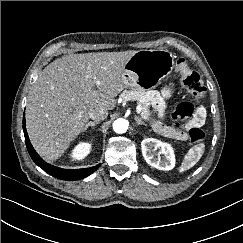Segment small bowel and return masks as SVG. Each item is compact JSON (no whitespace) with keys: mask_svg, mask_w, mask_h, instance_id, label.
Here are the masks:
<instances>
[{"mask_svg":"<svg viewBox=\"0 0 243 243\" xmlns=\"http://www.w3.org/2000/svg\"><path fill=\"white\" fill-rule=\"evenodd\" d=\"M171 95V89L166 87L162 90L161 93L151 92L148 95V100L160 111L162 114L164 108V98H168ZM206 118V110L203 107H199L195 113L193 119L185 126V129L188 130L191 127H198L203 125ZM154 127L158 133L168 136L171 138H176L178 140H186L187 134L184 131L175 130L172 127L165 125L161 121H156Z\"/></svg>","mask_w":243,"mask_h":243,"instance_id":"small-bowel-1","label":"small bowel"}]
</instances>
